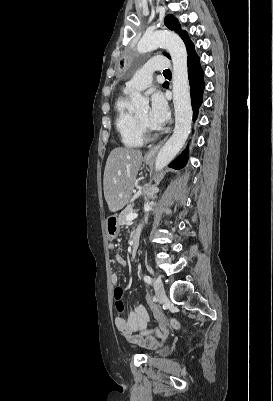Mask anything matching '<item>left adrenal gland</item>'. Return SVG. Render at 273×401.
I'll use <instances>...</instances> for the list:
<instances>
[{"label": "left adrenal gland", "mask_w": 273, "mask_h": 401, "mask_svg": "<svg viewBox=\"0 0 273 401\" xmlns=\"http://www.w3.org/2000/svg\"><path fill=\"white\" fill-rule=\"evenodd\" d=\"M147 196H148V198H154V196H156V194H150V192H148Z\"/></svg>", "instance_id": "left-adrenal-gland-1"}]
</instances>
